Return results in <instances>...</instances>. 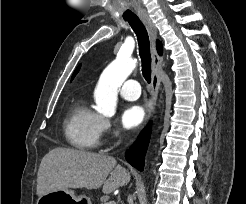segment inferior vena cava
I'll use <instances>...</instances> for the list:
<instances>
[{"label": "inferior vena cava", "mask_w": 246, "mask_h": 204, "mask_svg": "<svg viewBox=\"0 0 246 204\" xmlns=\"http://www.w3.org/2000/svg\"><path fill=\"white\" fill-rule=\"evenodd\" d=\"M128 201H132V197L130 195L128 196Z\"/></svg>", "instance_id": "602c4592"}]
</instances>
